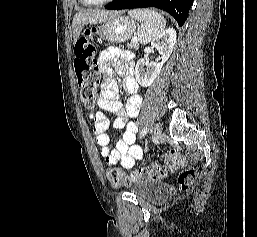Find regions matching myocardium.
Segmentation results:
<instances>
[{"label":"myocardium","mask_w":257,"mask_h":237,"mask_svg":"<svg viewBox=\"0 0 257 237\" xmlns=\"http://www.w3.org/2000/svg\"><path fill=\"white\" fill-rule=\"evenodd\" d=\"M112 1H114V0H103V1L83 0V2L86 5H90V6H101V5L108 4V3L112 2Z\"/></svg>","instance_id":"1"}]
</instances>
